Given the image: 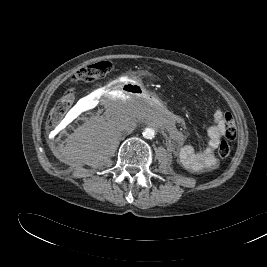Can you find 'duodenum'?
<instances>
[{
	"mask_svg": "<svg viewBox=\"0 0 267 267\" xmlns=\"http://www.w3.org/2000/svg\"><path fill=\"white\" fill-rule=\"evenodd\" d=\"M112 91L114 93L119 92H132L140 95H145L148 99H151L159 108L166 106V101L162 96L156 94L152 89H147L145 86L138 85L136 83H114L112 85Z\"/></svg>",
	"mask_w": 267,
	"mask_h": 267,
	"instance_id": "1",
	"label": "duodenum"
}]
</instances>
